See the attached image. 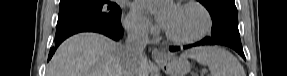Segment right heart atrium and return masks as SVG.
Instances as JSON below:
<instances>
[{"mask_svg":"<svg viewBox=\"0 0 287 76\" xmlns=\"http://www.w3.org/2000/svg\"><path fill=\"white\" fill-rule=\"evenodd\" d=\"M125 23L132 34L140 37L148 36L155 30L154 26L147 18L135 11H131L127 15Z\"/></svg>","mask_w":287,"mask_h":76,"instance_id":"1","label":"right heart atrium"}]
</instances>
